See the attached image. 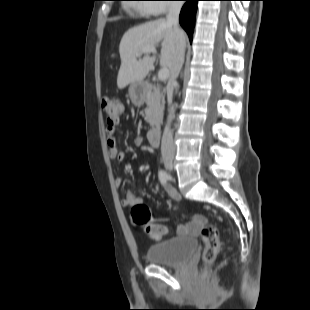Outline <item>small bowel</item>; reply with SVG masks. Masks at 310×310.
Instances as JSON below:
<instances>
[{"instance_id":"1","label":"small bowel","mask_w":310,"mask_h":310,"mask_svg":"<svg viewBox=\"0 0 310 310\" xmlns=\"http://www.w3.org/2000/svg\"><path fill=\"white\" fill-rule=\"evenodd\" d=\"M116 132H117L116 126L108 125L107 133H108L109 155L113 160L117 162H122L125 159V154L117 145ZM143 144H144V140L142 137L137 136L134 138V145L136 147H142ZM115 184L118 187L121 185L120 177H117L115 179ZM162 187L170 199L174 201L180 200V195L177 193V191L174 188L164 183ZM137 203H139V198L131 192H128L125 195V197L122 199V205L124 207H132ZM204 223H206V218L204 216L195 215L190 223L178 226L177 233L182 236L196 233L198 229ZM144 230L147 233V235L155 241L162 240L169 233L168 226L161 224V223L147 224L145 225Z\"/></svg>"}]
</instances>
